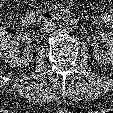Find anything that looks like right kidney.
Masks as SVG:
<instances>
[{"label":"right kidney","instance_id":"right-kidney-1","mask_svg":"<svg viewBox=\"0 0 113 113\" xmlns=\"http://www.w3.org/2000/svg\"><path fill=\"white\" fill-rule=\"evenodd\" d=\"M26 43L24 52L19 55V44ZM32 39L27 33H19L14 40L11 41L7 51L4 53L5 61L13 67H24L29 65L32 61V54H30Z\"/></svg>","mask_w":113,"mask_h":113}]
</instances>
